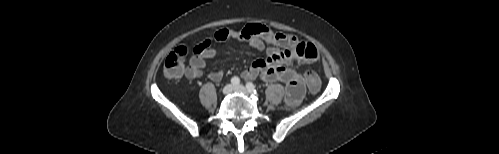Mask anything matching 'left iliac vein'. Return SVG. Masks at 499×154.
Returning a JSON list of instances; mask_svg holds the SVG:
<instances>
[{
    "mask_svg": "<svg viewBox=\"0 0 499 154\" xmlns=\"http://www.w3.org/2000/svg\"><path fill=\"white\" fill-rule=\"evenodd\" d=\"M235 91L242 92V93H247V89L243 85H237L234 87Z\"/></svg>",
    "mask_w": 499,
    "mask_h": 154,
    "instance_id": "4c4485c4",
    "label": "left iliac vein"
}]
</instances>
